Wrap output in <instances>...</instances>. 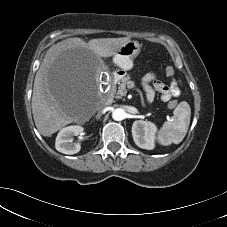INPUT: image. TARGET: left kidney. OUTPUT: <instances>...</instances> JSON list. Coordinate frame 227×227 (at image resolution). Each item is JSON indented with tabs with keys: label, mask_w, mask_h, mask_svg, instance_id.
<instances>
[{
	"label": "left kidney",
	"mask_w": 227,
	"mask_h": 227,
	"mask_svg": "<svg viewBox=\"0 0 227 227\" xmlns=\"http://www.w3.org/2000/svg\"><path fill=\"white\" fill-rule=\"evenodd\" d=\"M156 132V125L149 121L137 120L132 125L133 140L142 149H154Z\"/></svg>",
	"instance_id": "1"
}]
</instances>
